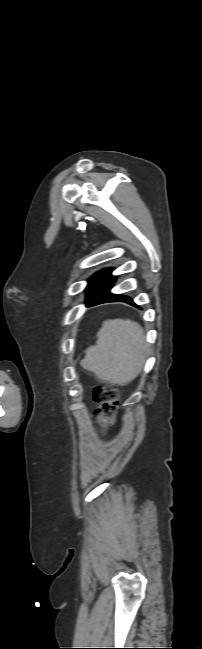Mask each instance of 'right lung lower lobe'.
Masks as SVG:
<instances>
[{
	"instance_id": "1",
	"label": "right lung lower lobe",
	"mask_w": 202,
	"mask_h": 649,
	"mask_svg": "<svg viewBox=\"0 0 202 649\" xmlns=\"http://www.w3.org/2000/svg\"><path fill=\"white\" fill-rule=\"evenodd\" d=\"M113 269L103 270L94 278L87 287V302L90 304H99L104 302H126L134 305L131 298L123 295H114L109 292L110 288L116 281L111 275Z\"/></svg>"
}]
</instances>
